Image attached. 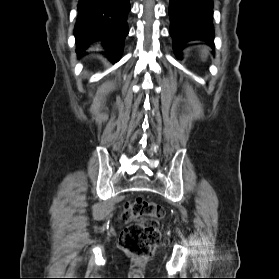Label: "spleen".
Returning a JSON list of instances; mask_svg holds the SVG:
<instances>
[{
  "mask_svg": "<svg viewBox=\"0 0 279 279\" xmlns=\"http://www.w3.org/2000/svg\"><path fill=\"white\" fill-rule=\"evenodd\" d=\"M208 54V48L207 47H204L202 50H201V57L202 59H205L206 56Z\"/></svg>",
  "mask_w": 279,
  "mask_h": 279,
  "instance_id": "spleen-1",
  "label": "spleen"
}]
</instances>
